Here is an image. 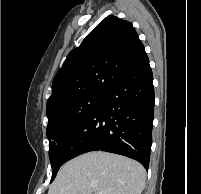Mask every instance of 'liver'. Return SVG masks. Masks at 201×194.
Returning <instances> with one entry per match:
<instances>
[{"instance_id":"liver-1","label":"liver","mask_w":201,"mask_h":194,"mask_svg":"<svg viewBox=\"0 0 201 194\" xmlns=\"http://www.w3.org/2000/svg\"><path fill=\"white\" fill-rule=\"evenodd\" d=\"M145 179L146 171L137 161L95 151L64 164L48 194H141Z\"/></svg>"}]
</instances>
